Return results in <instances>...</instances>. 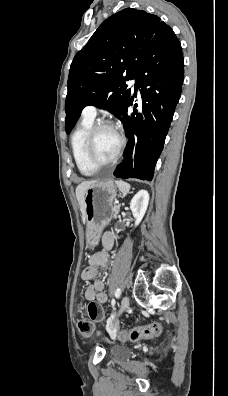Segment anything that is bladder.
<instances>
[{
  "label": "bladder",
  "instance_id": "31cf9c89",
  "mask_svg": "<svg viewBox=\"0 0 228 396\" xmlns=\"http://www.w3.org/2000/svg\"><path fill=\"white\" fill-rule=\"evenodd\" d=\"M110 352L111 355L116 359H123L130 355V349L122 345L113 346Z\"/></svg>",
  "mask_w": 228,
  "mask_h": 396
}]
</instances>
